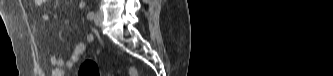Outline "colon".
<instances>
[{
    "label": "colon",
    "instance_id": "1",
    "mask_svg": "<svg viewBox=\"0 0 333 76\" xmlns=\"http://www.w3.org/2000/svg\"><path fill=\"white\" fill-rule=\"evenodd\" d=\"M79 76H101V72L96 64V62L92 59H85L79 69ZM130 76H138V71L135 68H131L129 70Z\"/></svg>",
    "mask_w": 333,
    "mask_h": 76
}]
</instances>
